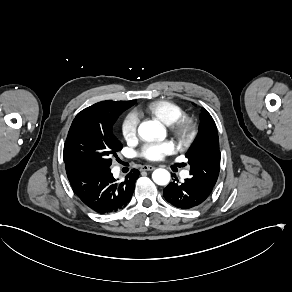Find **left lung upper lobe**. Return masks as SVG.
<instances>
[{"label":"left lung upper lobe","instance_id":"left-lung-upper-lobe-1","mask_svg":"<svg viewBox=\"0 0 292 292\" xmlns=\"http://www.w3.org/2000/svg\"><path fill=\"white\" fill-rule=\"evenodd\" d=\"M185 156L190 165V178L214 187L220 171L219 138L216 124L204 108L198 135Z\"/></svg>","mask_w":292,"mask_h":292}]
</instances>
